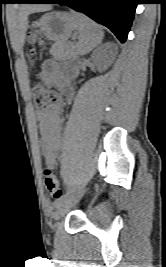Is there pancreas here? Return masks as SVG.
I'll return each instance as SVG.
<instances>
[{
  "label": "pancreas",
  "mask_w": 166,
  "mask_h": 267,
  "mask_svg": "<svg viewBox=\"0 0 166 267\" xmlns=\"http://www.w3.org/2000/svg\"><path fill=\"white\" fill-rule=\"evenodd\" d=\"M51 55L59 60L70 59L75 56L74 47L65 42H56L50 49Z\"/></svg>",
  "instance_id": "pancreas-1"
}]
</instances>
